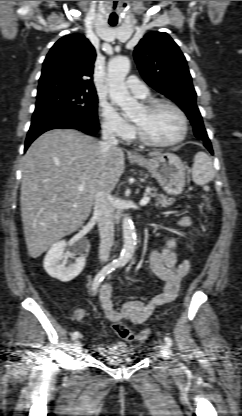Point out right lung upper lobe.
<instances>
[{
  "mask_svg": "<svg viewBox=\"0 0 242 416\" xmlns=\"http://www.w3.org/2000/svg\"><path fill=\"white\" fill-rule=\"evenodd\" d=\"M95 58L94 47L83 35L62 37L43 62L37 96L64 88L95 92L92 80Z\"/></svg>",
  "mask_w": 242,
  "mask_h": 416,
  "instance_id": "obj_1",
  "label": "right lung upper lobe"
}]
</instances>
